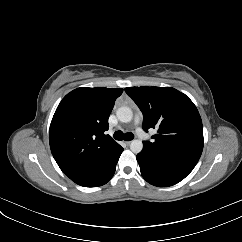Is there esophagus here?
<instances>
[{
	"label": "esophagus",
	"mask_w": 242,
	"mask_h": 242,
	"mask_svg": "<svg viewBox=\"0 0 242 242\" xmlns=\"http://www.w3.org/2000/svg\"><path fill=\"white\" fill-rule=\"evenodd\" d=\"M125 145L129 146L131 144V141H124Z\"/></svg>",
	"instance_id": "34e87169"
}]
</instances>
